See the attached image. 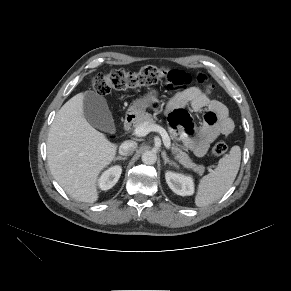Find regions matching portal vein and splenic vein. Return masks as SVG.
Returning <instances> with one entry per match:
<instances>
[{
  "label": "portal vein and splenic vein",
  "mask_w": 291,
  "mask_h": 291,
  "mask_svg": "<svg viewBox=\"0 0 291 291\" xmlns=\"http://www.w3.org/2000/svg\"><path fill=\"white\" fill-rule=\"evenodd\" d=\"M151 131H155V132L160 133L165 147L167 149H169L171 147V141H170V138L168 136V133L166 132V130L163 127H161L159 125L150 124L148 122H145L142 125L136 127L134 129L133 134L135 136L142 137V136H146ZM209 170H211V169H209Z\"/></svg>",
  "instance_id": "18ae733b"
}]
</instances>
